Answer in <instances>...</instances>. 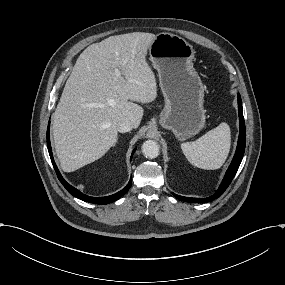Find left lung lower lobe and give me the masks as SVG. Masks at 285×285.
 <instances>
[{"label": "left lung lower lobe", "mask_w": 285, "mask_h": 285, "mask_svg": "<svg viewBox=\"0 0 285 285\" xmlns=\"http://www.w3.org/2000/svg\"><path fill=\"white\" fill-rule=\"evenodd\" d=\"M238 110H239V121H240V133H239L236 153L217 191L212 196L207 197V198L184 197V196H179L173 193V195L177 199L186 201V202H192V203H207V202H210V201H213L219 198L224 193V191L227 189V187L231 183L232 179L234 178L240 166V163L242 161L244 151H245L246 133H245V122H244V117H243V112H242V101H241L240 94H238Z\"/></svg>", "instance_id": "0a47b994"}]
</instances>
